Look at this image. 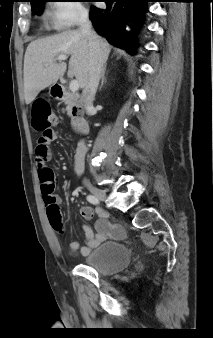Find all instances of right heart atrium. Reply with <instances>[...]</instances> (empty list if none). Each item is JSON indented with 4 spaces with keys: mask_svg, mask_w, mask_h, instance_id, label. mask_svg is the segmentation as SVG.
I'll list each match as a JSON object with an SVG mask.
<instances>
[{
    "mask_svg": "<svg viewBox=\"0 0 213 338\" xmlns=\"http://www.w3.org/2000/svg\"><path fill=\"white\" fill-rule=\"evenodd\" d=\"M86 17L85 9L77 3L60 2L52 7L51 21L54 26L67 28L81 23Z\"/></svg>",
    "mask_w": 213,
    "mask_h": 338,
    "instance_id": "obj_1",
    "label": "right heart atrium"
}]
</instances>
